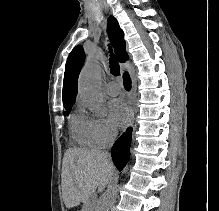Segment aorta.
I'll return each instance as SVG.
<instances>
[{"instance_id": "obj_1", "label": "aorta", "mask_w": 219, "mask_h": 211, "mask_svg": "<svg viewBox=\"0 0 219 211\" xmlns=\"http://www.w3.org/2000/svg\"><path fill=\"white\" fill-rule=\"evenodd\" d=\"M101 70L93 60H87L78 79V90L82 101L95 116H104L105 97L100 88ZM119 185L114 184L107 189L99 201L97 211H109L115 203Z\"/></svg>"}]
</instances>
